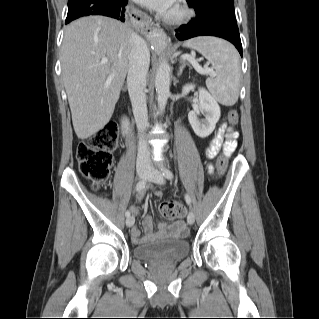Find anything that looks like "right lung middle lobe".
I'll return each mask as SVG.
<instances>
[{
    "instance_id": "dd1d6c3e",
    "label": "right lung middle lobe",
    "mask_w": 319,
    "mask_h": 319,
    "mask_svg": "<svg viewBox=\"0 0 319 319\" xmlns=\"http://www.w3.org/2000/svg\"><path fill=\"white\" fill-rule=\"evenodd\" d=\"M116 0H68V14L66 22H71L89 11L110 6Z\"/></svg>"
}]
</instances>
